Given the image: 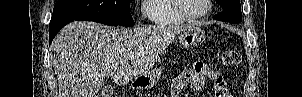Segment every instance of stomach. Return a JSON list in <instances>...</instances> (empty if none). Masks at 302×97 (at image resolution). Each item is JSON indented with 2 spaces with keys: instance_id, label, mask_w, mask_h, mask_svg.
Returning a JSON list of instances; mask_svg holds the SVG:
<instances>
[{
  "instance_id": "stomach-1",
  "label": "stomach",
  "mask_w": 302,
  "mask_h": 97,
  "mask_svg": "<svg viewBox=\"0 0 302 97\" xmlns=\"http://www.w3.org/2000/svg\"><path fill=\"white\" fill-rule=\"evenodd\" d=\"M205 39L204 31L198 26L186 27L179 34V42L185 48L200 45ZM164 67L151 69L148 73L138 77L136 83L142 88H152L159 82Z\"/></svg>"
}]
</instances>
